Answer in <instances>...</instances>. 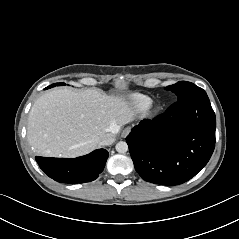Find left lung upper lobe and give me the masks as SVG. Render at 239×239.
<instances>
[{
	"label": "left lung upper lobe",
	"mask_w": 239,
	"mask_h": 239,
	"mask_svg": "<svg viewBox=\"0 0 239 239\" xmlns=\"http://www.w3.org/2000/svg\"><path fill=\"white\" fill-rule=\"evenodd\" d=\"M177 95V101L186 99L195 94L204 92V90L195 84L187 81H180L174 85H170L166 88Z\"/></svg>",
	"instance_id": "5c2ea615"
}]
</instances>
